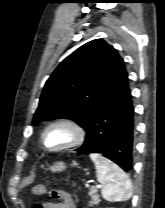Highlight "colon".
<instances>
[{
  "label": "colon",
  "mask_w": 165,
  "mask_h": 208,
  "mask_svg": "<svg viewBox=\"0 0 165 208\" xmlns=\"http://www.w3.org/2000/svg\"><path fill=\"white\" fill-rule=\"evenodd\" d=\"M45 192L46 186L43 184L36 185L32 188V193L37 196L43 195ZM33 208H41V204H36L33 206Z\"/></svg>",
  "instance_id": "1"
}]
</instances>
